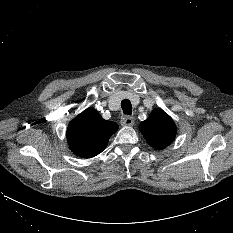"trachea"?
I'll return each instance as SVG.
<instances>
[{
	"label": "trachea",
	"instance_id": "3493384b",
	"mask_svg": "<svg viewBox=\"0 0 233 233\" xmlns=\"http://www.w3.org/2000/svg\"><path fill=\"white\" fill-rule=\"evenodd\" d=\"M121 108L123 110V113L125 115H131L132 114V106L131 102L128 99H125L121 102Z\"/></svg>",
	"mask_w": 233,
	"mask_h": 233
}]
</instances>
